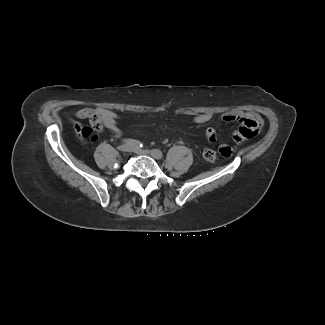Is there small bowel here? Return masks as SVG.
I'll return each mask as SVG.
<instances>
[{
    "mask_svg": "<svg viewBox=\"0 0 325 325\" xmlns=\"http://www.w3.org/2000/svg\"><path fill=\"white\" fill-rule=\"evenodd\" d=\"M78 119L87 120L89 125H75V129L80 136L88 137L90 131L100 132L107 129L115 137H121L122 133L117 124V114L107 108H83L76 114ZM211 120L209 113H200L194 117L197 124H206ZM222 120L229 124H234L231 131L232 140L236 145H241L245 141L253 138L259 132L261 127L260 120L256 114L252 112H227L222 115ZM207 142L213 144L217 141V133L215 129L208 128L205 131ZM219 151L223 157H230L233 154V148L227 144H221Z\"/></svg>",
    "mask_w": 325,
    "mask_h": 325,
    "instance_id": "1",
    "label": "small bowel"
}]
</instances>
